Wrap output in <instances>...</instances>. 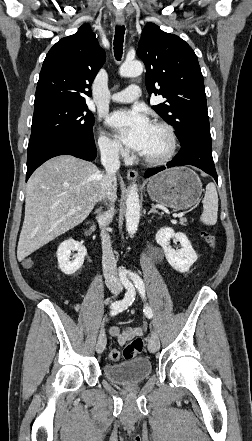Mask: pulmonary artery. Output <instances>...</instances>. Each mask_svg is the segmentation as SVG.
I'll list each match as a JSON object with an SVG mask.
<instances>
[{
    "instance_id": "pulmonary-artery-1",
    "label": "pulmonary artery",
    "mask_w": 252,
    "mask_h": 441,
    "mask_svg": "<svg viewBox=\"0 0 252 441\" xmlns=\"http://www.w3.org/2000/svg\"><path fill=\"white\" fill-rule=\"evenodd\" d=\"M140 95V88L137 85H130L125 90L113 94L111 99L118 103H130L137 100Z\"/></svg>"
}]
</instances>
